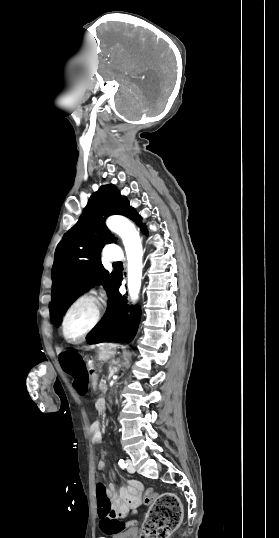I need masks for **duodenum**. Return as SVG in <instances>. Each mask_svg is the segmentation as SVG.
Listing matches in <instances>:
<instances>
[{
    "instance_id": "410a0bca",
    "label": "duodenum",
    "mask_w": 279,
    "mask_h": 538,
    "mask_svg": "<svg viewBox=\"0 0 279 538\" xmlns=\"http://www.w3.org/2000/svg\"><path fill=\"white\" fill-rule=\"evenodd\" d=\"M89 369L91 370L90 376L92 377L91 378V381H92L91 389L93 391H96L98 389V378L96 377L97 376L96 365L91 364L89 366ZM98 400L99 401L97 402V405L95 406V409L97 410V413L99 415L105 414V409H102V406H104L105 397L103 395H100L98 397Z\"/></svg>"
}]
</instances>
